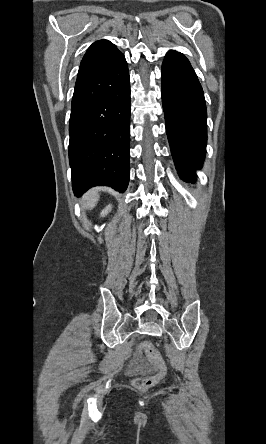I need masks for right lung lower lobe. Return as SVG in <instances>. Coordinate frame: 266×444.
I'll use <instances>...</instances> for the list:
<instances>
[{"instance_id":"98d812e1","label":"right lung lower lobe","mask_w":266,"mask_h":444,"mask_svg":"<svg viewBox=\"0 0 266 444\" xmlns=\"http://www.w3.org/2000/svg\"><path fill=\"white\" fill-rule=\"evenodd\" d=\"M72 187L124 192L129 183L130 79L122 54L107 70L74 90L69 120Z\"/></svg>"}]
</instances>
